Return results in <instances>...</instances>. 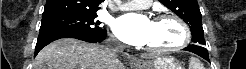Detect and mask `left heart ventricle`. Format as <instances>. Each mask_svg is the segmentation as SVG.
<instances>
[{
	"instance_id": "1",
	"label": "left heart ventricle",
	"mask_w": 246,
	"mask_h": 69,
	"mask_svg": "<svg viewBox=\"0 0 246 69\" xmlns=\"http://www.w3.org/2000/svg\"><path fill=\"white\" fill-rule=\"evenodd\" d=\"M181 38V29L172 20L152 21L146 45L168 47L178 43Z\"/></svg>"
}]
</instances>
